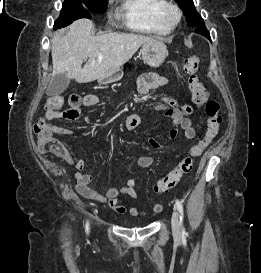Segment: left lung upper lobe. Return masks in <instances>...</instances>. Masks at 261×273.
Masks as SVG:
<instances>
[{
  "label": "left lung upper lobe",
  "instance_id": "obj_1",
  "mask_svg": "<svg viewBox=\"0 0 261 273\" xmlns=\"http://www.w3.org/2000/svg\"><path fill=\"white\" fill-rule=\"evenodd\" d=\"M183 10L186 20L190 27L205 25L202 17L196 11L192 0H175Z\"/></svg>",
  "mask_w": 261,
  "mask_h": 273
}]
</instances>
